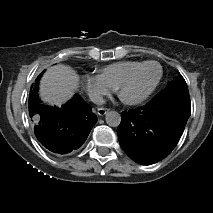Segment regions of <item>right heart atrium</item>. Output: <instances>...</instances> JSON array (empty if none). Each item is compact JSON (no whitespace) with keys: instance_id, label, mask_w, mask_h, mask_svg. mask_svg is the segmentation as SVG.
Instances as JSON below:
<instances>
[{"instance_id":"right-heart-atrium-1","label":"right heart atrium","mask_w":213,"mask_h":213,"mask_svg":"<svg viewBox=\"0 0 213 213\" xmlns=\"http://www.w3.org/2000/svg\"><path fill=\"white\" fill-rule=\"evenodd\" d=\"M83 83L90 98L96 102H102L114 90L100 75L87 74Z\"/></svg>"}]
</instances>
